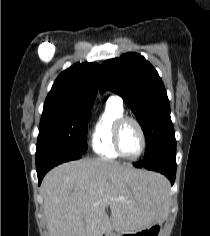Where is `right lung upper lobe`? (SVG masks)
<instances>
[{
    "mask_svg": "<svg viewBox=\"0 0 210 236\" xmlns=\"http://www.w3.org/2000/svg\"><path fill=\"white\" fill-rule=\"evenodd\" d=\"M98 77V64H74L57 77L44 105L68 104L91 109L97 95Z\"/></svg>",
    "mask_w": 210,
    "mask_h": 236,
    "instance_id": "right-lung-upper-lobe-1",
    "label": "right lung upper lobe"
}]
</instances>
